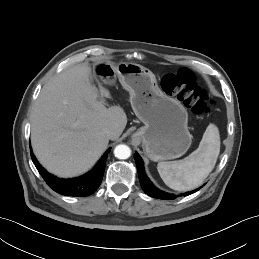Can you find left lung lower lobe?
<instances>
[{
  "label": "left lung lower lobe",
  "instance_id": "left-lung-lower-lobe-1",
  "mask_svg": "<svg viewBox=\"0 0 259 259\" xmlns=\"http://www.w3.org/2000/svg\"><path fill=\"white\" fill-rule=\"evenodd\" d=\"M135 161H136V165H137V170H138V176H139V180H140V184L144 190V192L154 198H158V199H163V200H172L175 199L176 195L174 194H170V193H166L164 191L159 190L157 187H155L153 185V183L149 180V178L146 176L145 171H144V166H143V161L141 159V157L139 156V154L136 152L134 155ZM199 189L193 190L191 192H187L184 194H181L186 196V195H190L196 191H198Z\"/></svg>",
  "mask_w": 259,
  "mask_h": 259
}]
</instances>
